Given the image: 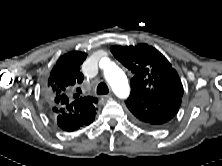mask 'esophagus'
<instances>
[{
  "label": "esophagus",
  "instance_id": "esophagus-1",
  "mask_svg": "<svg viewBox=\"0 0 222 166\" xmlns=\"http://www.w3.org/2000/svg\"><path fill=\"white\" fill-rule=\"evenodd\" d=\"M111 97H112V94H108V95L102 96V99L105 100V101H107V100H110Z\"/></svg>",
  "mask_w": 222,
  "mask_h": 166
}]
</instances>
